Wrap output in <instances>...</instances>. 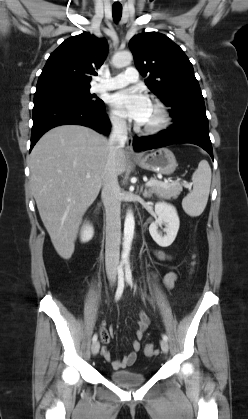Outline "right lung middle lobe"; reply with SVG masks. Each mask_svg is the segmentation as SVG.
Returning <instances> with one entry per match:
<instances>
[{
    "mask_svg": "<svg viewBox=\"0 0 248 419\" xmlns=\"http://www.w3.org/2000/svg\"><path fill=\"white\" fill-rule=\"evenodd\" d=\"M89 89L90 88H64L38 92L34 95V103L49 100H68L80 102L96 109L103 108L104 102L91 95Z\"/></svg>",
    "mask_w": 248,
    "mask_h": 419,
    "instance_id": "dd1d6c3e",
    "label": "right lung middle lobe"
}]
</instances>
